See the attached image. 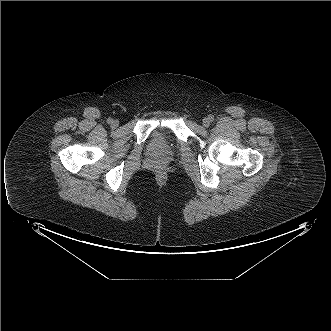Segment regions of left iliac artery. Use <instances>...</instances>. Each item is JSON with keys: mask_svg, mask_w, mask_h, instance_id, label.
Masks as SVG:
<instances>
[{"mask_svg": "<svg viewBox=\"0 0 331 331\" xmlns=\"http://www.w3.org/2000/svg\"><path fill=\"white\" fill-rule=\"evenodd\" d=\"M209 120L210 121H213L214 120V117L212 115L209 116Z\"/></svg>", "mask_w": 331, "mask_h": 331, "instance_id": "obj_1", "label": "left iliac artery"}]
</instances>
